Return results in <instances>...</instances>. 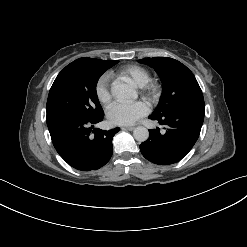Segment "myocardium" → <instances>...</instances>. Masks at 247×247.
I'll list each match as a JSON object with an SVG mask.
<instances>
[{
	"instance_id": "1",
	"label": "myocardium",
	"mask_w": 247,
	"mask_h": 247,
	"mask_svg": "<svg viewBox=\"0 0 247 247\" xmlns=\"http://www.w3.org/2000/svg\"><path fill=\"white\" fill-rule=\"evenodd\" d=\"M142 90L148 97L154 98L160 91V85L156 81H148L144 86H142Z\"/></svg>"
}]
</instances>
